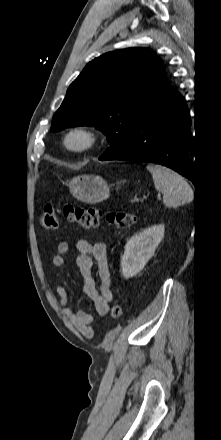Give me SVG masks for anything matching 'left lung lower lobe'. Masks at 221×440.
<instances>
[{
	"mask_svg": "<svg viewBox=\"0 0 221 440\" xmlns=\"http://www.w3.org/2000/svg\"><path fill=\"white\" fill-rule=\"evenodd\" d=\"M190 112L170 85L149 105L135 124L126 151L99 160L152 162L167 166L195 184L189 150L194 146Z\"/></svg>",
	"mask_w": 221,
	"mask_h": 440,
	"instance_id": "0a47b994",
	"label": "left lung lower lobe"
}]
</instances>
